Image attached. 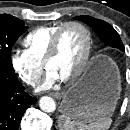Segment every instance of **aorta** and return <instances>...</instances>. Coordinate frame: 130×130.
Returning a JSON list of instances; mask_svg holds the SVG:
<instances>
[{
	"instance_id": "aorta-1",
	"label": "aorta",
	"mask_w": 130,
	"mask_h": 130,
	"mask_svg": "<svg viewBox=\"0 0 130 130\" xmlns=\"http://www.w3.org/2000/svg\"><path fill=\"white\" fill-rule=\"evenodd\" d=\"M40 109L44 112L50 113L54 112L56 109L55 101L48 96H43L39 101Z\"/></svg>"
}]
</instances>
